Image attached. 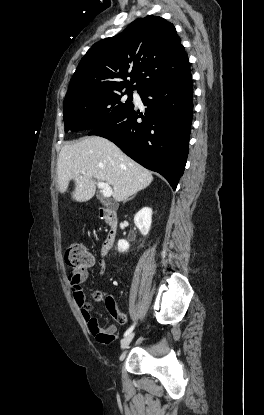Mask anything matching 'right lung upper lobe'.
Here are the masks:
<instances>
[{"mask_svg":"<svg viewBox=\"0 0 264 415\" xmlns=\"http://www.w3.org/2000/svg\"><path fill=\"white\" fill-rule=\"evenodd\" d=\"M189 72L188 56L173 24L159 16H147L132 22L122 34L97 42L88 50L70 81L65 99L121 92L124 88L125 92L136 89L141 93ZM128 77L130 80H126Z\"/></svg>","mask_w":264,"mask_h":415,"instance_id":"1","label":"right lung upper lobe"}]
</instances>
